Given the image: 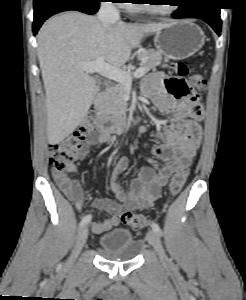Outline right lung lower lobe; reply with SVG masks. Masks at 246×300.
<instances>
[{
    "label": "right lung lower lobe",
    "instance_id": "1",
    "mask_svg": "<svg viewBox=\"0 0 246 300\" xmlns=\"http://www.w3.org/2000/svg\"><path fill=\"white\" fill-rule=\"evenodd\" d=\"M102 0H34L33 34L36 35L43 22L50 16L68 10L95 14Z\"/></svg>",
    "mask_w": 246,
    "mask_h": 300
}]
</instances>
